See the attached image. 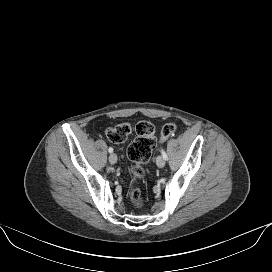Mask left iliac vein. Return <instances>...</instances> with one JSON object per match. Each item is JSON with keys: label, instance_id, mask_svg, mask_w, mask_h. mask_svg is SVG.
I'll return each mask as SVG.
<instances>
[{"label": "left iliac vein", "instance_id": "1", "mask_svg": "<svg viewBox=\"0 0 272 272\" xmlns=\"http://www.w3.org/2000/svg\"><path fill=\"white\" fill-rule=\"evenodd\" d=\"M156 164L159 168H163L166 164V160L163 158V156H158L156 159Z\"/></svg>", "mask_w": 272, "mask_h": 272}]
</instances>
